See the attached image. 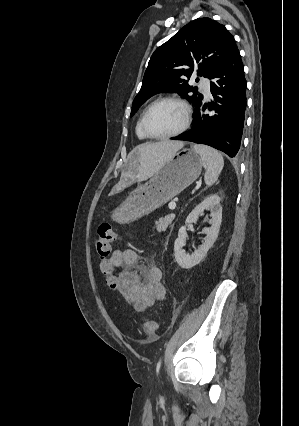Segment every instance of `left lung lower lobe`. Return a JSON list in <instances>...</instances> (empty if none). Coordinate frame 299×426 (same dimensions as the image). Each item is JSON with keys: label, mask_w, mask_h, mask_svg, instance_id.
<instances>
[{"label": "left lung lower lobe", "mask_w": 299, "mask_h": 426, "mask_svg": "<svg viewBox=\"0 0 299 426\" xmlns=\"http://www.w3.org/2000/svg\"><path fill=\"white\" fill-rule=\"evenodd\" d=\"M211 103L202 102L192 128L173 140L209 145L230 157L239 154L246 110L247 81L239 50L233 51L212 77ZM213 115L205 114L206 109Z\"/></svg>", "instance_id": "0a47b994"}]
</instances>
